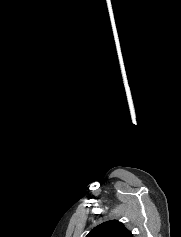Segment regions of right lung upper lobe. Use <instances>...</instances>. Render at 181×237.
Listing matches in <instances>:
<instances>
[{
  "label": "right lung upper lobe",
  "mask_w": 181,
  "mask_h": 237,
  "mask_svg": "<svg viewBox=\"0 0 181 237\" xmlns=\"http://www.w3.org/2000/svg\"><path fill=\"white\" fill-rule=\"evenodd\" d=\"M86 237H133L122 223L112 220L95 227Z\"/></svg>",
  "instance_id": "1"
}]
</instances>
